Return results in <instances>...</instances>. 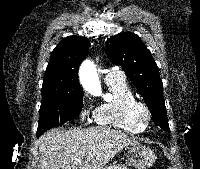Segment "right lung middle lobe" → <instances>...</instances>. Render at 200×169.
Instances as JSON below:
<instances>
[{
    "instance_id": "1",
    "label": "right lung middle lobe",
    "mask_w": 200,
    "mask_h": 169,
    "mask_svg": "<svg viewBox=\"0 0 200 169\" xmlns=\"http://www.w3.org/2000/svg\"><path fill=\"white\" fill-rule=\"evenodd\" d=\"M83 92L42 99L37 137L45 131L75 119L82 109Z\"/></svg>"
}]
</instances>
